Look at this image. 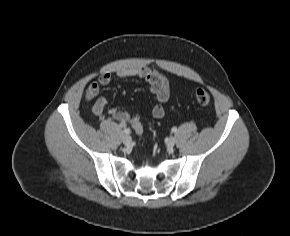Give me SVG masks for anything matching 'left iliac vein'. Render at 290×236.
Here are the masks:
<instances>
[{
	"label": "left iliac vein",
	"mask_w": 290,
	"mask_h": 236,
	"mask_svg": "<svg viewBox=\"0 0 290 236\" xmlns=\"http://www.w3.org/2000/svg\"><path fill=\"white\" fill-rule=\"evenodd\" d=\"M175 143H176L175 137L171 136L167 141L168 149H172L174 147Z\"/></svg>",
	"instance_id": "1"
}]
</instances>
